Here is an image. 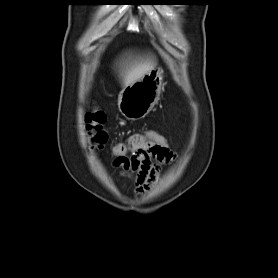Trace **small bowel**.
Wrapping results in <instances>:
<instances>
[{"instance_id":"small-bowel-1","label":"small bowel","mask_w":278,"mask_h":278,"mask_svg":"<svg viewBox=\"0 0 278 278\" xmlns=\"http://www.w3.org/2000/svg\"><path fill=\"white\" fill-rule=\"evenodd\" d=\"M127 146L129 155L115 158L114 165L133 178L137 194L147 193L158 180L161 166L171 161L174 154L141 134L132 135Z\"/></svg>"}]
</instances>
